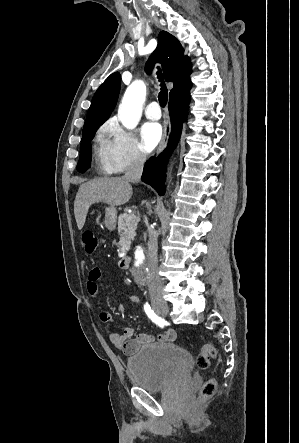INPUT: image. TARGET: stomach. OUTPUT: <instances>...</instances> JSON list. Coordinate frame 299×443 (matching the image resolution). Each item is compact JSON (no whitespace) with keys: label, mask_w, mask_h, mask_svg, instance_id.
<instances>
[{"label":"stomach","mask_w":299,"mask_h":443,"mask_svg":"<svg viewBox=\"0 0 299 443\" xmlns=\"http://www.w3.org/2000/svg\"><path fill=\"white\" fill-rule=\"evenodd\" d=\"M116 220H117V211L114 206L105 207V218H104V224L105 227L113 231L116 227Z\"/></svg>","instance_id":"1"}]
</instances>
